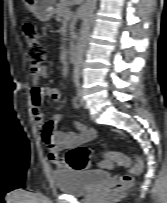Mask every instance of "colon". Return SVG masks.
I'll use <instances>...</instances> for the list:
<instances>
[{"label": "colon", "instance_id": "obj_1", "mask_svg": "<svg viewBox=\"0 0 167 203\" xmlns=\"http://www.w3.org/2000/svg\"><path fill=\"white\" fill-rule=\"evenodd\" d=\"M25 46L27 50V59L30 68L39 70L47 57V50L41 44L39 33L33 23L24 25ZM93 151L84 145L72 147L66 153L65 161L70 168L75 170H84L90 166V158ZM103 156H107L117 162L120 166L128 167L129 172L122 175L118 181L111 184L107 188L110 194L122 192L133 185L134 175L138 174L143 169V162L140 159L131 163L130 159L119 151L99 152Z\"/></svg>", "mask_w": 167, "mask_h": 203}]
</instances>
